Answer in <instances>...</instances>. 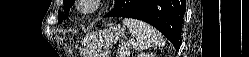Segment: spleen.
Here are the masks:
<instances>
[{
  "label": "spleen",
  "instance_id": "1",
  "mask_svg": "<svg viewBox=\"0 0 249 57\" xmlns=\"http://www.w3.org/2000/svg\"><path fill=\"white\" fill-rule=\"evenodd\" d=\"M123 24L129 28L131 36L135 38V49L143 50L151 46H162L165 43L161 33L146 22L125 18Z\"/></svg>",
  "mask_w": 249,
  "mask_h": 57
}]
</instances>
